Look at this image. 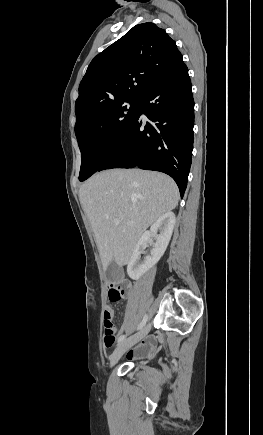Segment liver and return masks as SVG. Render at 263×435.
Instances as JSON below:
<instances>
[{"mask_svg":"<svg viewBox=\"0 0 263 435\" xmlns=\"http://www.w3.org/2000/svg\"><path fill=\"white\" fill-rule=\"evenodd\" d=\"M79 198L106 270L112 261L120 267L129 262L143 232L177 206L179 190L172 178L159 172L111 169L90 177L80 187Z\"/></svg>","mask_w":263,"mask_h":435,"instance_id":"6515ba94","label":"liver"}]
</instances>
